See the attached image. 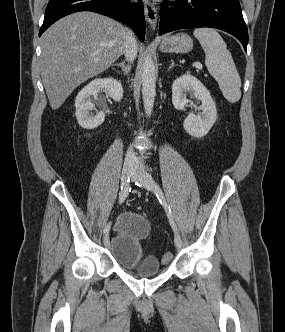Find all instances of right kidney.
Wrapping results in <instances>:
<instances>
[{"mask_svg": "<svg viewBox=\"0 0 285 332\" xmlns=\"http://www.w3.org/2000/svg\"><path fill=\"white\" fill-rule=\"evenodd\" d=\"M99 91L108 94L115 102L123 97V87L120 81L110 78H98L86 85L76 96V118L79 125L85 129H94L100 126L105 120V112L99 111L95 116L90 113L94 110L91 103V96L96 97Z\"/></svg>", "mask_w": 285, "mask_h": 332, "instance_id": "1", "label": "right kidney"}]
</instances>
